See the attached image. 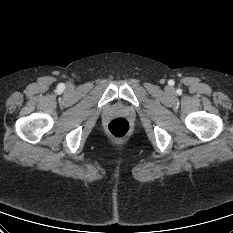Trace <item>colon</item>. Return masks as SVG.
<instances>
[{
  "label": "colon",
  "mask_w": 233,
  "mask_h": 233,
  "mask_svg": "<svg viewBox=\"0 0 233 233\" xmlns=\"http://www.w3.org/2000/svg\"><path fill=\"white\" fill-rule=\"evenodd\" d=\"M107 131L113 138L123 140L130 133V124L125 118H115L108 123Z\"/></svg>",
  "instance_id": "5ec220e1"
}]
</instances>
